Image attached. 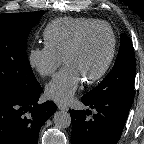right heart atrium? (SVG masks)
Here are the masks:
<instances>
[{
	"mask_svg": "<svg viewBox=\"0 0 144 144\" xmlns=\"http://www.w3.org/2000/svg\"><path fill=\"white\" fill-rule=\"evenodd\" d=\"M28 63L39 75L47 77L54 74L63 58L46 45L32 46L28 52Z\"/></svg>",
	"mask_w": 144,
	"mask_h": 144,
	"instance_id": "1",
	"label": "right heart atrium"
}]
</instances>
